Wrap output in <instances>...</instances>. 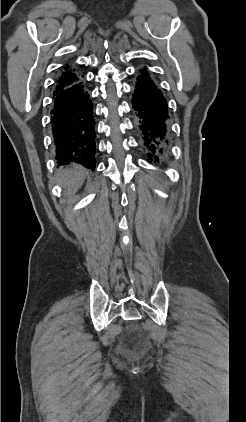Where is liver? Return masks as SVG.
I'll use <instances>...</instances> for the list:
<instances>
[{"mask_svg":"<svg viewBox=\"0 0 246 422\" xmlns=\"http://www.w3.org/2000/svg\"><path fill=\"white\" fill-rule=\"evenodd\" d=\"M87 170L80 165L60 169L57 172L59 183L64 187L66 195L74 194L84 182Z\"/></svg>","mask_w":246,"mask_h":422,"instance_id":"obj_1","label":"liver"}]
</instances>
